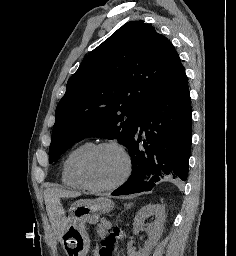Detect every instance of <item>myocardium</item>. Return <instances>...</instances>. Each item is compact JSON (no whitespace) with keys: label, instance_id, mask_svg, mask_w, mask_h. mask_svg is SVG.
<instances>
[{"label":"myocardium","instance_id":"f54148a6","mask_svg":"<svg viewBox=\"0 0 236 256\" xmlns=\"http://www.w3.org/2000/svg\"><path fill=\"white\" fill-rule=\"evenodd\" d=\"M108 147L115 148L121 152L124 158V163H125L124 172L121 178L115 184L108 187H95L87 179L86 165L92 155L97 153L99 150L103 148H108ZM132 169H133V162H132L131 154L128 151V149L122 143L116 140H108V141H102L100 143L92 145V147L85 154L82 155L78 163L77 173H78V178L85 189L93 193L104 194V193H111L119 189L120 187H122L130 178L132 174Z\"/></svg>","mask_w":236,"mask_h":256}]
</instances>
